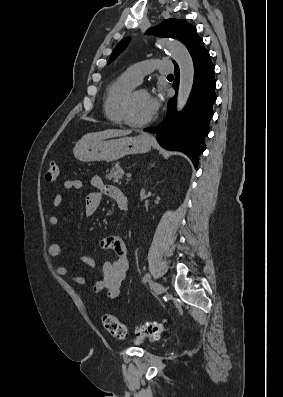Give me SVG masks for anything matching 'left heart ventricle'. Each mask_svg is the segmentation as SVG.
Here are the masks:
<instances>
[{
    "label": "left heart ventricle",
    "instance_id": "obj_1",
    "mask_svg": "<svg viewBox=\"0 0 283 397\" xmlns=\"http://www.w3.org/2000/svg\"><path fill=\"white\" fill-rule=\"evenodd\" d=\"M149 95L145 91H138L132 101L131 116L135 121H144L152 117L148 109Z\"/></svg>",
    "mask_w": 283,
    "mask_h": 397
}]
</instances>
